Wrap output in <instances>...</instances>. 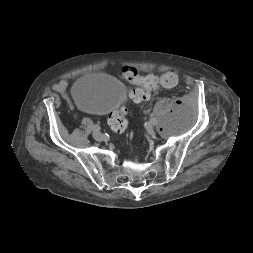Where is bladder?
Masks as SVG:
<instances>
[{
    "mask_svg": "<svg viewBox=\"0 0 253 253\" xmlns=\"http://www.w3.org/2000/svg\"><path fill=\"white\" fill-rule=\"evenodd\" d=\"M126 92V87L122 82L101 73H91L80 77L71 90L77 105L97 114L118 109L126 97Z\"/></svg>",
    "mask_w": 253,
    "mask_h": 253,
    "instance_id": "obj_1",
    "label": "bladder"
}]
</instances>
